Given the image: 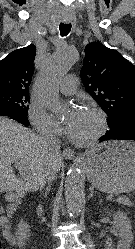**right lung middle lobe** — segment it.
Masks as SVG:
<instances>
[{"mask_svg": "<svg viewBox=\"0 0 135 249\" xmlns=\"http://www.w3.org/2000/svg\"><path fill=\"white\" fill-rule=\"evenodd\" d=\"M29 94L26 91H0V107L10 108L27 116Z\"/></svg>", "mask_w": 135, "mask_h": 249, "instance_id": "dd1d6c3e", "label": "right lung middle lobe"}]
</instances>
